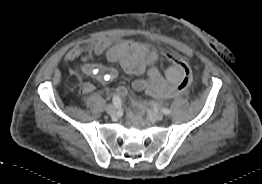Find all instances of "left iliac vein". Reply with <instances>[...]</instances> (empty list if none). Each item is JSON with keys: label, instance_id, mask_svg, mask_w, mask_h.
Returning <instances> with one entry per match:
<instances>
[{"label": "left iliac vein", "instance_id": "obj_1", "mask_svg": "<svg viewBox=\"0 0 262 184\" xmlns=\"http://www.w3.org/2000/svg\"><path fill=\"white\" fill-rule=\"evenodd\" d=\"M149 115H150L151 119H153L154 121H161L164 117L163 113H161V112L149 111Z\"/></svg>", "mask_w": 262, "mask_h": 184}]
</instances>
